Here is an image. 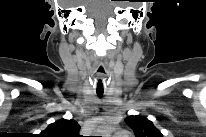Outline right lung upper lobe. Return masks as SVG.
I'll return each instance as SVG.
<instances>
[{"label":"right lung upper lobe","mask_w":206,"mask_h":137,"mask_svg":"<svg viewBox=\"0 0 206 137\" xmlns=\"http://www.w3.org/2000/svg\"><path fill=\"white\" fill-rule=\"evenodd\" d=\"M80 126L75 120H58L41 132L44 137H77Z\"/></svg>","instance_id":"right-lung-upper-lobe-1"}]
</instances>
